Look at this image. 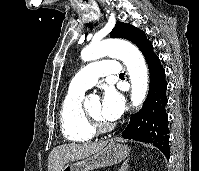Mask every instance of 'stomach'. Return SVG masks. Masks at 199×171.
Here are the masks:
<instances>
[{"mask_svg": "<svg viewBox=\"0 0 199 171\" xmlns=\"http://www.w3.org/2000/svg\"><path fill=\"white\" fill-rule=\"evenodd\" d=\"M130 149L117 140L110 141L97 153L74 163H67L61 171H93L94 169L111 166L123 161Z\"/></svg>", "mask_w": 199, "mask_h": 171, "instance_id": "1", "label": "stomach"}]
</instances>
